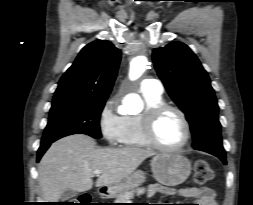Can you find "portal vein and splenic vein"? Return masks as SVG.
I'll return each instance as SVG.
<instances>
[{
	"label": "portal vein and splenic vein",
	"instance_id": "18ae733b",
	"mask_svg": "<svg viewBox=\"0 0 253 205\" xmlns=\"http://www.w3.org/2000/svg\"><path fill=\"white\" fill-rule=\"evenodd\" d=\"M100 173H102V170H95L94 171V174H100Z\"/></svg>",
	"mask_w": 253,
	"mask_h": 205
}]
</instances>
